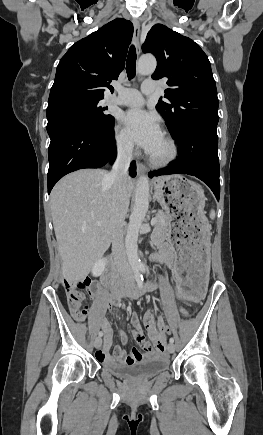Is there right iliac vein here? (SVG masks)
I'll list each match as a JSON object with an SVG mask.
<instances>
[{
  "label": "right iliac vein",
  "instance_id": "63e3f726",
  "mask_svg": "<svg viewBox=\"0 0 263 435\" xmlns=\"http://www.w3.org/2000/svg\"><path fill=\"white\" fill-rule=\"evenodd\" d=\"M101 345H102V339H101V337H97L94 341V346H95V348L98 349L101 347Z\"/></svg>",
  "mask_w": 263,
  "mask_h": 435
}]
</instances>
